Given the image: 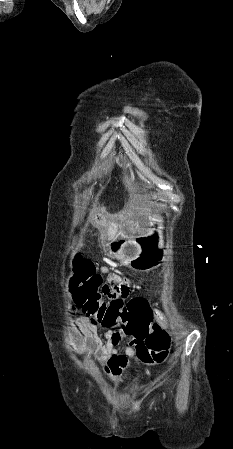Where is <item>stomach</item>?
Masks as SVG:
<instances>
[{
    "label": "stomach",
    "mask_w": 233,
    "mask_h": 449,
    "mask_svg": "<svg viewBox=\"0 0 233 449\" xmlns=\"http://www.w3.org/2000/svg\"><path fill=\"white\" fill-rule=\"evenodd\" d=\"M94 222H98L96 215L92 216ZM100 221L114 236L119 234L115 229L117 221H135V212H100ZM152 227L147 234L140 238L108 239L104 244L107 254L125 263L128 267L139 272H148L159 266L166 253L163 238V220L160 216L152 215ZM136 231L142 230L141 224L135 225Z\"/></svg>",
    "instance_id": "stomach-1"
}]
</instances>
